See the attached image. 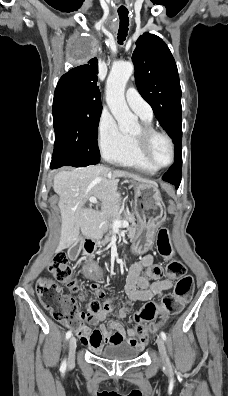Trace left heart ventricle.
I'll list each match as a JSON object with an SVG mask.
<instances>
[{"mask_svg":"<svg viewBox=\"0 0 228 396\" xmlns=\"http://www.w3.org/2000/svg\"><path fill=\"white\" fill-rule=\"evenodd\" d=\"M140 133V127L136 129L132 135H138ZM150 157L156 165H164L170 160V148L167 141L156 136L152 139L149 149Z\"/></svg>","mask_w":228,"mask_h":396,"instance_id":"left-heart-ventricle-1","label":"left heart ventricle"}]
</instances>
